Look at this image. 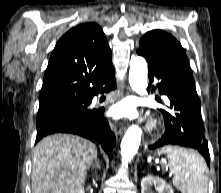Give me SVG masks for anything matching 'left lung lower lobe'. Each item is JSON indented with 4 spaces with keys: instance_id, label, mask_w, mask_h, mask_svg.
<instances>
[{
    "instance_id": "left-lung-lower-lobe-1",
    "label": "left lung lower lobe",
    "mask_w": 221,
    "mask_h": 193,
    "mask_svg": "<svg viewBox=\"0 0 221 193\" xmlns=\"http://www.w3.org/2000/svg\"><path fill=\"white\" fill-rule=\"evenodd\" d=\"M137 54L147 60L149 82L159 80L157 84L159 92L169 98L172 109V112L161 110L166 130L156 143L149 146V149L168 145L194 148L204 156L209 166L208 141L204 135L201 104L191 68L184 64L160 60L141 48H138Z\"/></svg>"
}]
</instances>
